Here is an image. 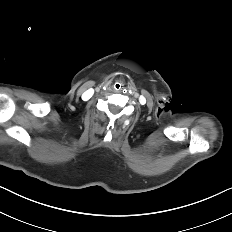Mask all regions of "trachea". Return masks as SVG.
I'll return each mask as SVG.
<instances>
[{
	"mask_svg": "<svg viewBox=\"0 0 232 232\" xmlns=\"http://www.w3.org/2000/svg\"><path fill=\"white\" fill-rule=\"evenodd\" d=\"M123 83L122 82H115L113 84V88L116 90V91H121L123 89Z\"/></svg>",
	"mask_w": 232,
	"mask_h": 232,
	"instance_id": "3493384b",
	"label": "trachea"
}]
</instances>
